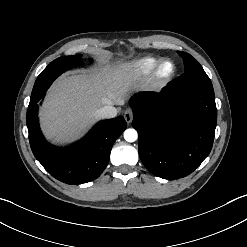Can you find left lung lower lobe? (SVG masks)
<instances>
[{"instance_id": "0a47b994", "label": "left lung lower lobe", "mask_w": 247, "mask_h": 247, "mask_svg": "<svg viewBox=\"0 0 247 247\" xmlns=\"http://www.w3.org/2000/svg\"><path fill=\"white\" fill-rule=\"evenodd\" d=\"M138 152L155 176L174 180L191 174L209 155L217 123L213 87H179L139 93L130 100Z\"/></svg>"}]
</instances>
